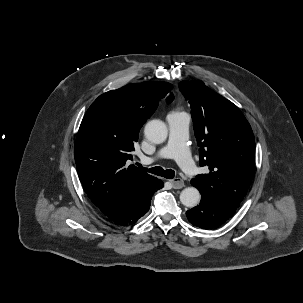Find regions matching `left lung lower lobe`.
Returning a JSON list of instances; mask_svg holds the SVG:
<instances>
[{
	"label": "left lung lower lobe",
	"instance_id": "obj_1",
	"mask_svg": "<svg viewBox=\"0 0 303 303\" xmlns=\"http://www.w3.org/2000/svg\"><path fill=\"white\" fill-rule=\"evenodd\" d=\"M201 203L186 212L191 224L202 229L218 227L231 218L236 208L227 201L208 193H201Z\"/></svg>",
	"mask_w": 303,
	"mask_h": 303
}]
</instances>
